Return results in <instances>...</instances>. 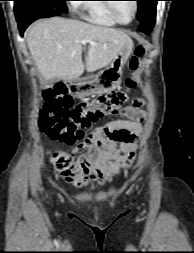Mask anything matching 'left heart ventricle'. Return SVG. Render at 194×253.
I'll use <instances>...</instances> for the list:
<instances>
[{
	"mask_svg": "<svg viewBox=\"0 0 194 253\" xmlns=\"http://www.w3.org/2000/svg\"><path fill=\"white\" fill-rule=\"evenodd\" d=\"M114 7L118 16L123 21H128L134 12V3L133 1H117L114 2Z\"/></svg>",
	"mask_w": 194,
	"mask_h": 253,
	"instance_id": "obj_1",
	"label": "left heart ventricle"
}]
</instances>
